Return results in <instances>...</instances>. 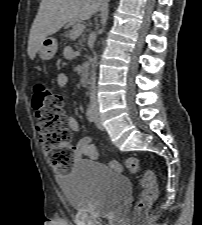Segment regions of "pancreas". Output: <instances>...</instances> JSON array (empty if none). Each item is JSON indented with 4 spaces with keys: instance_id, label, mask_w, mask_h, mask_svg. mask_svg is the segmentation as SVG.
Masks as SVG:
<instances>
[{
    "instance_id": "obj_1",
    "label": "pancreas",
    "mask_w": 202,
    "mask_h": 225,
    "mask_svg": "<svg viewBox=\"0 0 202 225\" xmlns=\"http://www.w3.org/2000/svg\"><path fill=\"white\" fill-rule=\"evenodd\" d=\"M65 36H66V37H70V34H69V33H66ZM75 47L78 49V46H77V45H75Z\"/></svg>"
}]
</instances>
